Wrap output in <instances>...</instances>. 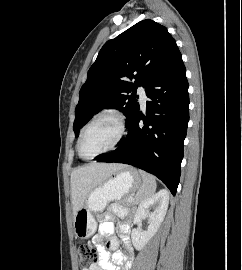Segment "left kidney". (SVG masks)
I'll use <instances>...</instances> for the list:
<instances>
[{
  "mask_svg": "<svg viewBox=\"0 0 242 270\" xmlns=\"http://www.w3.org/2000/svg\"><path fill=\"white\" fill-rule=\"evenodd\" d=\"M168 204L169 192L166 189L160 190L139 204L134 223L138 224L143 219L148 218L149 226L146 231L141 229L132 230L131 238L137 250L143 249L148 241L156 234L166 215ZM151 209H153L152 212L150 211Z\"/></svg>",
  "mask_w": 242,
  "mask_h": 270,
  "instance_id": "left-kidney-1",
  "label": "left kidney"
}]
</instances>
